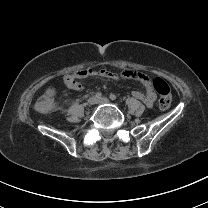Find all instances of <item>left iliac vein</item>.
Segmentation results:
<instances>
[{
  "instance_id": "obj_1",
  "label": "left iliac vein",
  "mask_w": 208,
  "mask_h": 208,
  "mask_svg": "<svg viewBox=\"0 0 208 208\" xmlns=\"http://www.w3.org/2000/svg\"><path fill=\"white\" fill-rule=\"evenodd\" d=\"M97 103H99V104H109L110 100L106 97H103V98L98 99Z\"/></svg>"
}]
</instances>
